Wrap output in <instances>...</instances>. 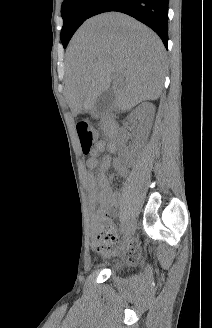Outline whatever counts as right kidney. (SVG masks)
I'll list each match as a JSON object with an SVG mask.
<instances>
[{"instance_id":"right-kidney-1","label":"right kidney","mask_w":212,"mask_h":328,"mask_svg":"<svg viewBox=\"0 0 212 328\" xmlns=\"http://www.w3.org/2000/svg\"><path fill=\"white\" fill-rule=\"evenodd\" d=\"M155 106L144 102L136 107L128 116V121L135 125L141 141L147 139L154 119Z\"/></svg>"}]
</instances>
